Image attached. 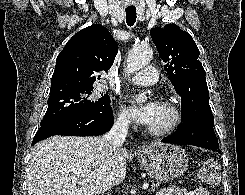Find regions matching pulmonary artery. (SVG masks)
<instances>
[{"instance_id": "e3ab8cb5", "label": "pulmonary artery", "mask_w": 245, "mask_h": 195, "mask_svg": "<svg viewBox=\"0 0 245 195\" xmlns=\"http://www.w3.org/2000/svg\"><path fill=\"white\" fill-rule=\"evenodd\" d=\"M127 81L138 86H150L158 81V75L154 66H148L129 77Z\"/></svg>"}]
</instances>
